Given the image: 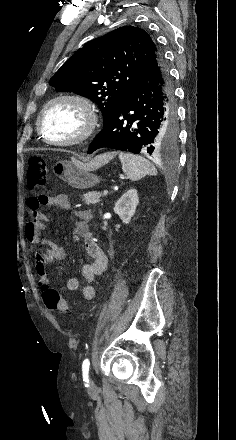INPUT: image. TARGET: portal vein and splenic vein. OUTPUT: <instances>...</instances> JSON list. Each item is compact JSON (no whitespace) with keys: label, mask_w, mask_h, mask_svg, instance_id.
<instances>
[{"label":"portal vein and splenic vein","mask_w":236,"mask_h":440,"mask_svg":"<svg viewBox=\"0 0 236 440\" xmlns=\"http://www.w3.org/2000/svg\"><path fill=\"white\" fill-rule=\"evenodd\" d=\"M107 194H108V191H107V190H104V191H103V196H107Z\"/></svg>","instance_id":"18ae733b"}]
</instances>
